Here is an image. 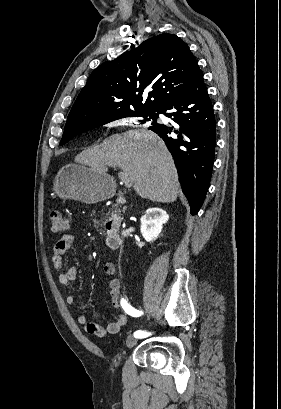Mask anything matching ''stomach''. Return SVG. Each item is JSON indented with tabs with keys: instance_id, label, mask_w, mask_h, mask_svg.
<instances>
[{
	"instance_id": "stomach-1",
	"label": "stomach",
	"mask_w": 281,
	"mask_h": 409,
	"mask_svg": "<svg viewBox=\"0 0 281 409\" xmlns=\"http://www.w3.org/2000/svg\"><path fill=\"white\" fill-rule=\"evenodd\" d=\"M116 184L108 174L88 164H66L55 176L53 190L60 198H74L81 202H100L115 194Z\"/></svg>"
}]
</instances>
